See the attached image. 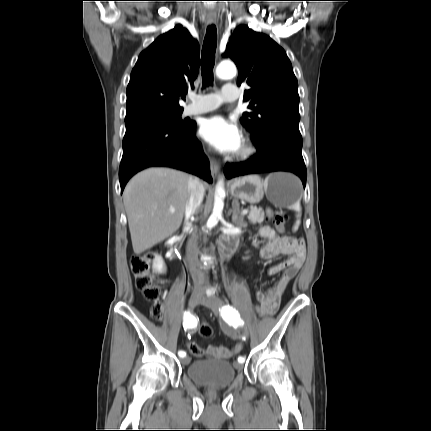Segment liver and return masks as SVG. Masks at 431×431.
<instances>
[{
    "instance_id": "obj_1",
    "label": "liver",
    "mask_w": 431,
    "mask_h": 431,
    "mask_svg": "<svg viewBox=\"0 0 431 431\" xmlns=\"http://www.w3.org/2000/svg\"><path fill=\"white\" fill-rule=\"evenodd\" d=\"M189 178L177 170L149 168L129 181L123 202L135 254L143 253L179 229L188 199ZM170 208L175 212L171 213Z\"/></svg>"
}]
</instances>
